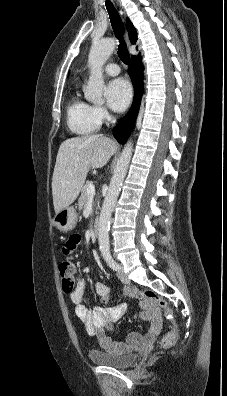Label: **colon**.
I'll return each instance as SVG.
<instances>
[{
    "mask_svg": "<svg viewBox=\"0 0 227 396\" xmlns=\"http://www.w3.org/2000/svg\"><path fill=\"white\" fill-rule=\"evenodd\" d=\"M67 244V243H66ZM59 274L62 289L65 293H72L76 286L75 266L69 260H63L59 263ZM134 298H144L150 301L154 306L163 310L165 317L172 323L171 329L161 338L160 345L163 349L171 348L178 338V325L172 308L168 302L160 295L146 291L140 294H134Z\"/></svg>",
    "mask_w": 227,
    "mask_h": 396,
    "instance_id": "colon-1",
    "label": "colon"
}]
</instances>
